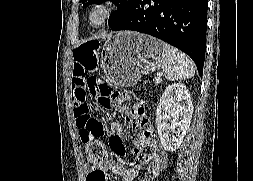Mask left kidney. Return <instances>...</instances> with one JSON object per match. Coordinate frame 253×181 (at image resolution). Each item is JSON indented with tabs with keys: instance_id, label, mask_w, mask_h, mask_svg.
I'll use <instances>...</instances> for the list:
<instances>
[{
	"instance_id": "1",
	"label": "left kidney",
	"mask_w": 253,
	"mask_h": 181,
	"mask_svg": "<svg viewBox=\"0 0 253 181\" xmlns=\"http://www.w3.org/2000/svg\"><path fill=\"white\" fill-rule=\"evenodd\" d=\"M192 114L193 104L186 86L181 83L169 85L156 109L157 131L165 150L179 148L189 129Z\"/></svg>"
}]
</instances>
